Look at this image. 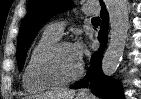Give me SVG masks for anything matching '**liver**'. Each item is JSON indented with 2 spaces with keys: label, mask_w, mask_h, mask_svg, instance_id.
<instances>
[{
  "label": "liver",
  "mask_w": 141,
  "mask_h": 99,
  "mask_svg": "<svg viewBox=\"0 0 141 99\" xmlns=\"http://www.w3.org/2000/svg\"><path fill=\"white\" fill-rule=\"evenodd\" d=\"M75 91L74 90H56L46 92L37 96H31L29 99H74ZM28 99V97H27Z\"/></svg>",
  "instance_id": "obj_1"
}]
</instances>
